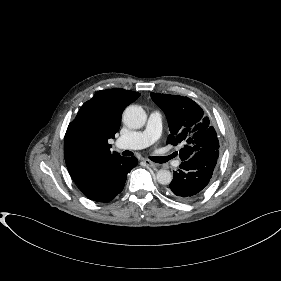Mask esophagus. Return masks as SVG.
Instances as JSON below:
<instances>
[{
  "label": "esophagus",
  "instance_id": "obj_1",
  "mask_svg": "<svg viewBox=\"0 0 281 281\" xmlns=\"http://www.w3.org/2000/svg\"><path fill=\"white\" fill-rule=\"evenodd\" d=\"M144 163L147 165V166H150V167H156L157 164L150 161V160H144Z\"/></svg>",
  "mask_w": 281,
  "mask_h": 281
}]
</instances>
